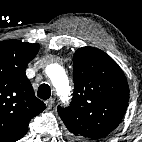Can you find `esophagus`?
<instances>
[{
	"label": "esophagus",
	"instance_id": "34e87169",
	"mask_svg": "<svg viewBox=\"0 0 142 142\" xmlns=\"http://www.w3.org/2000/svg\"><path fill=\"white\" fill-rule=\"evenodd\" d=\"M45 104H46L47 109H51L52 106H53V104H54V99H53V98L48 99V100L45 102Z\"/></svg>",
	"mask_w": 142,
	"mask_h": 142
}]
</instances>
